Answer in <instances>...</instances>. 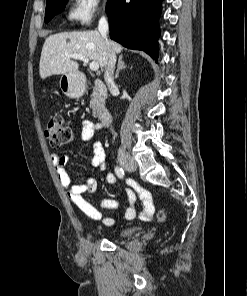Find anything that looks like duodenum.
I'll return each mask as SVG.
<instances>
[{"mask_svg": "<svg viewBox=\"0 0 247 296\" xmlns=\"http://www.w3.org/2000/svg\"><path fill=\"white\" fill-rule=\"evenodd\" d=\"M91 92L93 99L99 105L97 116L103 126H108L112 122V114L102 105L107 96V88L105 84L100 80L93 81L91 85Z\"/></svg>", "mask_w": 247, "mask_h": 296, "instance_id": "obj_1", "label": "duodenum"}]
</instances>
